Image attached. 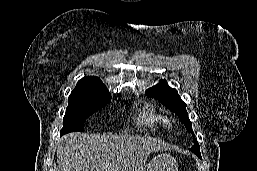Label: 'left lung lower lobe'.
Here are the masks:
<instances>
[{
    "instance_id": "left-lung-lower-lobe-1",
    "label": "left lung lower lobe",
    "mask_w": 257,
    "mask_h": 171,
    "mask_svg": "<svg viewBox=\"0 0 257 171\" xmlns=\"http://www.w3.org/2000/svg\"><path fill=\"white\" fill-rule=\"evenodd\" d=\"M194 154H196V153H194ZM199 158H201V154H196Z\"/></svg>"
}]
</instances>
